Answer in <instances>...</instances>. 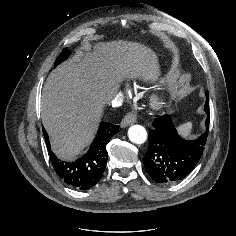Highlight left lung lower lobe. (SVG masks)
<instances>
[{
    "label": "left lung lower lobe",
    "instance_id": "obj_1",
    "mask_svg": "<svg viewBox=\"0 0 236 236\" xmlns=\"http://www.w3.org/2000/svg\"><path fill=\"white\" fill-rule=\"evenodd\" d=\"M205 112L206 130L195 140L183 139L177 133L169 115H163L153 121L144 165L155 182L175 183L186 177L196 166L208 136L209 110Z\"/></svg>",
    "mask_w": 236,
    "mask_h": 236
}]
</instances>
